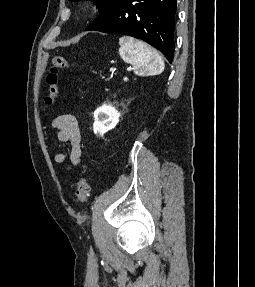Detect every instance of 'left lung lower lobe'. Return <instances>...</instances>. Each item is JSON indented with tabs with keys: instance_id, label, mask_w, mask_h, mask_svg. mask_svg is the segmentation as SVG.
Segmentation results:
<instances>
[{
	"instance_id": "left-lung-lower-lobe-1",
	"label": "left lung lower lobe",
	"mask_w": 255,
	"mask_h": 287,
	"mask_svg": "<svg viewBox=\"0 0 255 287\" xmlns=\"http://www.w3.org/2000/svg\"><path fill=\"white\" fill-rule=\"evenodd\" d=\"M176 19L177 0H114L85 31L142 39L172 62Z\"/></svg>"
}]
</instances>
